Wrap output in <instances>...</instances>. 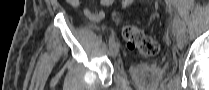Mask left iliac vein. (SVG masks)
<instances>
[{"label":"left iliac vein","instance_id":"left-iliac-vein-1","mask_svg":"<svg viewBox=\"0 0 209 90\" xmlns=\"http://www.w3.org/2000/svg\"><path fill=\"white\" fill-rule=\"evenodd\" d=\"M168 11L171 13L172 12V9L170 7V5L168 4ZM174 24H172V32L174 34V36H179L180 32H181V29L178 28V25L179 24H183L181 19H179L177 16H175V19H174ZM179 47L181 48L182 47V44L179 42Z\"/></svg>","mask_w":209,"mask_h":90}]
</instances>
